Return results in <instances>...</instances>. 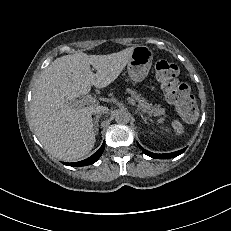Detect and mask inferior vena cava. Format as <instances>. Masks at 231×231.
Returning a JSON list of instances; mask_svg holds the SVG:
<instances>
[{"mask_svg": "<svg viewBox=\"0 0 231 231\" xmlns=\"http://www.w3.org/2000/svg\"><path fill=\"white\" fill-rule=\"evenodd\" d=\"M107 112H108V108H106L104 106H99L93 110V114H103V113H107Z\"/></svg>", "mask_w": 231, "mask_h": 231, "instance_id": "obj_1", "label": "inferior vena cava"}]
</instances>
